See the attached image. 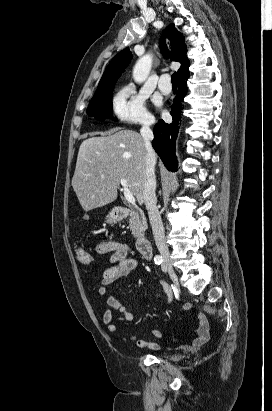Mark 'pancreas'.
<instances>
[{
    "instance_id": "pancreas-1",
    "label": "pancreas",
    "mask_w": 272,
    "mask_h": 411,
    "mask_svg": "<svg viewBox=\"0 0 272 411\" xmlns=\"http://www.w3.org/2000/svg\"><path fill=\"white\" fill-rule=\"evenodd\" d=\"M129 227L134 237L138 238L144 235L148 226L144 212L140 208L135 207L131 209Z\"/></svg>"
}]
</instances>
